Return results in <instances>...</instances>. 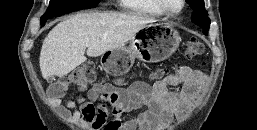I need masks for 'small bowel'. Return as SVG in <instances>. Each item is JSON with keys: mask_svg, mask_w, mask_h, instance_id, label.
I'll use <instances>...</instances> for the list:
<instances>
[{"mask_svg": "<svg viewBox=\"0 0 257 130\" xmlns=\"http://www.w3.org/2000/svg\"><path fill=\"white\" fill-rule=\"evenodd\" d=\"M206 86L205 75L189 66L149 85L135 81L124 88L96 83L87 100H63L49 95L51 104L80 130H162L175 114H183ZM176 87L180 89L176 90ZM140 111L122 120V116ZM109 114L113 119H109Z\"/></svg>", "mask_w": 257, "mask_h": 130, "instance_id": "c3829d8e", "label": "small bowel"}]
</instances>
